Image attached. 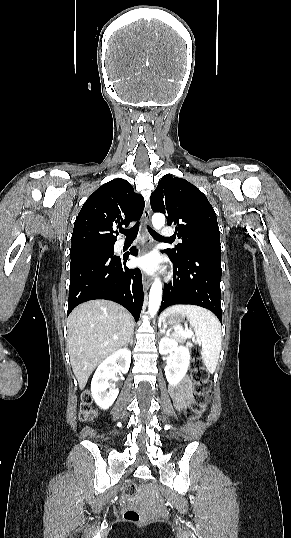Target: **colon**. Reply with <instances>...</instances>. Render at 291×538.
Returning <instances> with one entry per match:
<instances>
[{
  "label": "colon",
  "mask_w": 291,
  "mask_h": 538,
  "mask_svg": "<svg viewBox=\"0 0 291 538\" xmlns=\"http://www.w3.org/2000/svg\"><path fill=\"white\" fill-rule=\"evenodd\" d=\"M192 358L194 363V369L192 378L194 381V397L193 401L185 411V415L189 420L196 419L204 412L210 397L211 384L209 380V374L202 364L197 352H192ZM95 414L92 409V399L89 392H85L82 396V402L80 406V418L87 420ZM136 493V489L133 485H128L125 489V495L127 497H133ZM125 520L140 524L145 522V518L138 511L130 509L124 513Z\"/></svg>",
  "instance_id": "1"
}]
</instances>
